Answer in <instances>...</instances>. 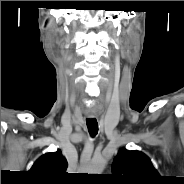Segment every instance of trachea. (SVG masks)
<instances>
[{"label": "trachea", "instance_id": "obj_1", "mask_svg": "<svg viewBox=\"0 0 184 184\" xmlns=\"http://www.w3.org/2000/svg\"><path fill=\"white\" fill-rule=\"evenodd\" d=\"M88 131L92 137H95L98 133V123L96 119H86Z\"/></svg>", "mask_w": 184, "mask_h": 184}]
</instances>
